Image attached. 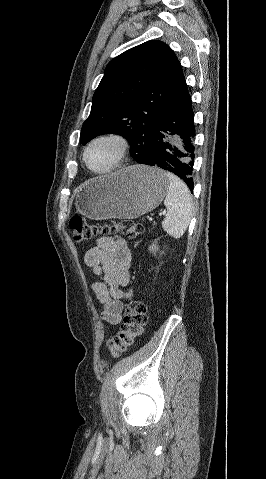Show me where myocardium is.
Returning <instances> with one entry per match:
<instances>
[{"label":"myocardium","instance_id":"1","mask_svg":"<svg viewBox=\"0 0 266 479\" xmlns=\"http://www.w3.org/2000/svg\"><path fill=\"white\" fill-rule=\"evenodd\" d=\"M102 142L113 143L117 148V153H116L115 160L110 167H108L107 169H104V170H99V169L93 168L89 164L88 154H89L90 150L95 145H97L99 143H102ZM128 149H129V142L124 136H122L120 134H117V133L101 134V135H98L95 138H93L87 144V146H86V148L84 149V152H83V161H84L86 167L91 172H93L95 174H98V175H106V174H109V173H112V172L116 171L120 167V165L122 164L123 160L125 159V157L127 155Z\"/></svg>","mask_w":266,"mask_h":479}]
</instances>
